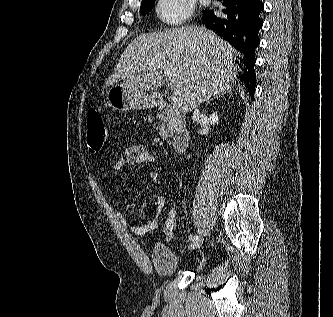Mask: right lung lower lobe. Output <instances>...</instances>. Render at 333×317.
<instances>
[{"mask_svg":"<svg viewBox=\"0 0 333 317\" xmlns=\"http://www.w3.org/2000/svg\"><path fill=\"white\" fill-rule=\"evenodd\" d=\"M226 9L223 12L226 17L219 18L212 10L203 12L205 26L218 33L223 39L231 43L233 47L243 53V71L239 79L248 89L253 98L256 75L254 71V50L260 44L258 32L263 26L259 15L264 8L261 0H226Z\"/></svg>","mask_w":333,"mask_h":317,"instance_id":"right-lung-lower-lobe-1","label":"right lung lower lobe"}]
</instances>
